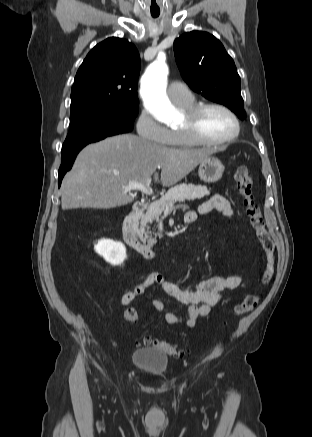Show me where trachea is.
I'll return each mask as SVG.
<instances>
[{"instance_id": "3493384b", "label": "trachea", "mask_w": 312, "mask_h": 437, "mask_svg": "<svg viewBox=\"0 0 312 437\" xmlns=\"http://www.w3.org/2000/svg\"><path fill=\"white\" fill-rule=\"evenodd\" d=\"M154 18L158 17V15H153Z\"/></svg>"}]
</instances>
